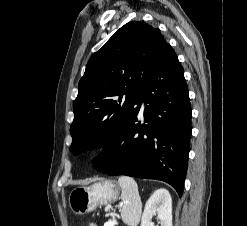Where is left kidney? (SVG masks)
<instances>
[{"label": "left kidney", "instance_id": "1", "mask_svg": "<svg viewBox=\"0 0 247 226\" xmlns=\"http://www.w3.org/2000/svg\"><path fill=\"white\" fill-rule=\"evenodd\" d=\"M158 215L161 226H172V199L165 189L153 192L146 202L141 218V226H154L152 217Z\"/></svg>", "mask_w": 247, "mask_h": 226}]
</instances>
